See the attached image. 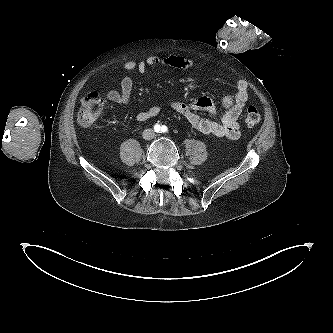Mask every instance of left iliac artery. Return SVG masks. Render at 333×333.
<instances>
[{
    "mask_svg": "<svg viewBox=\"0 0 333 333\" xmlns=\"http://www.w3.org/2000/svg\"><path fill=\"white\" fill-rule=\"evenodd\" d=\"M161 130H162L163 132H166V131H167V127H166V126H162Z\"/></svg>",
    "mask_w": 333,
    "mask_h": 333,
    "instance_id": "obj_1",
    "label": "left iliac artery"
}]
</instances>
